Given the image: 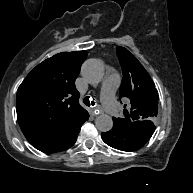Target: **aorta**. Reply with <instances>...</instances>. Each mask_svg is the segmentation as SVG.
Wrapping results in <instances>:
<instances>
[{"instance_id": "obj_1", "label": "aorta", "mask_w": 193, "mask_h": 193, "mask_svg": "<svg viewBox=\"0 0 193 193\" xmlns=\"http://www.w3.org/2000/svg\"><path fill=\"white\" fill-rule=\"evenodd\" d=\"M82 75L90 84L99 83L104 75V67L101 61L89 59L82 66ZM95 126L100 132L110 131L113 127V120L107 114H101L95 119Z\"/></svg>"}]
</instances>
